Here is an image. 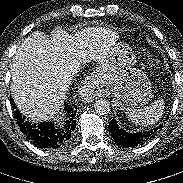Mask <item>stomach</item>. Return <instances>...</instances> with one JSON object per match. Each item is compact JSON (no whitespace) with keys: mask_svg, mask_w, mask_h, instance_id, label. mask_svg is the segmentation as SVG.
I'll use <instances>...</instances> for the list:
<instances>
[{"mask_svg":"<svg viewBox=\"0 0 183 183\" xmlns=\"http://www.w3.org/2000/svg\"><path fill=\"white\" fill-rule=\"evenodd\" d=\"M134 51L128 44L117 42L98 68L99 83L110 87L114 106L120 110L142 108L152 99V86L138 68Z\"/></svg>","mask_w":183,"mask_h":183,"instance_id":"stomach-1","label":"stomach"}]
</instances>
